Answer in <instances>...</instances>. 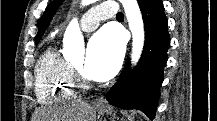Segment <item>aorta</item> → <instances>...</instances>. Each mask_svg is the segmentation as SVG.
<instances>
[{"label":"aorta","instance_id":"aorta-1","mask_svg":"<svg viewBox=\"0 0 217 121\" xmlns=\"http://www.w3.org/2000/svg\"><path fill=\"white\" fill-rule=\"evenodd\" d=\"M96 0H82V6L89 5ZM124 7L129 29L132 33L131 60L134 66L141 57L144 47V24L137 0H120ZM63 54L66 59L83 58L84 39L79 24L74 18L66 28L63 38Z\"/></svg>","mask_w":217,"mask_h":121}]
</instances>
